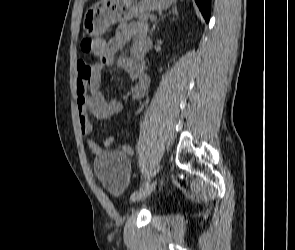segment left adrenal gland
Returning <instances> with one entry per match:
<instances>
[{"label": "left adrenal gland", "instance_id": "a2214340", "mask_svg": "<svg viewBox=\"0 0 295 250\" xmlns=\"http://www.w3.org/2000/svg\"><path fill=\"white\" fill-rule=\"evenodd\" d=\"M171 13H172L173 15H175V16H178L177 8L174 7V8L172 9V12H171ZM165 17H166V16H163L161 19H163V18H165ZM161 19H159L158 21H155L153 27L151 28L150 34L153 33V31L155 30V27H156L157 23H158Z\"/></svg>", "mask_w": 295, "mask_h": 250}]
</instances>
